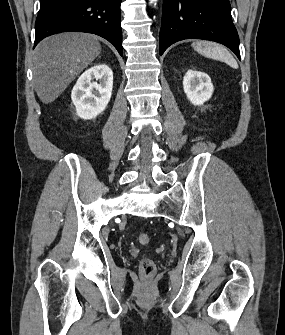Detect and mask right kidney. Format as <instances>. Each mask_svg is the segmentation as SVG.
Wrapping results in <instances>:
<instances>
[{
  "instance_id": "right-kidney-1",
  "label": "right kidney",
  "mask_w": 285,
  "mask_h": 335,
  "mask_svg": "<svg viewBox=\"0 0 285 335\" xmlns=\"http://www.w3.org/2000/svg\"><path fill=\"white\" fill-rule=\"evenodd\" d=\"M93 80H98L93 82ZM113 72L107 64H96L78 78L71 94L76 114L82 120H93L104 112L112 96Z\"/></svg>"
}]
</instances>
